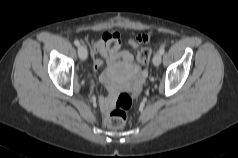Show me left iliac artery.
<instances>
[{"label": "left iliac artery", "mask_w": 238, "mask_h": 158, "mask_svg": "<svg viewBox=\"0 0 238 158\" xmlns=\"http://www.w3.org/2000/svg\"><path fill=\"white\" fill-rule=\"evenodd\" d=\"M158 52L160 55H163L165 52V49L163 47H161Z\"/></svg>", "instance_id": "left-iliac-artery-1"}]
</instances>
